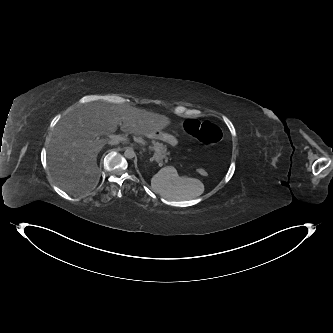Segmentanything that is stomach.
I'll list each match as a JSON object with an SVG mask.
<instances>
[{"mask_svg":"<svg viewBox=\"0 0 333 333\" xmlns=\"http://www.w3.org/2000/svg\"><path fill=\"white\" fill-rule=\"evenodd\" d=\"M158 135H159V139L164 140V141H168L173 138L171 135L164 133V132H158Z\"/></svg>","mask_w":333,"mask_h":333,"instance_id":"1","label":"stomach"}]
</instances>
